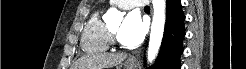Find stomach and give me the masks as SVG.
<instances>
[{"label": "stomach", "mask_w": 246, "mask_h": 69, "mask_svg": "<svg viewBox=\"0 0 246 69\" xmlns=\"http://www.w3.org/2000/svg\"><path fill=\"white\" fill-rule=\"evenodd\" d=\"M137 64L136 63H132L130 61H127L125 63V69H137Z\"/></svg>", "instance_id": "stomach-1"}]
</instances>
